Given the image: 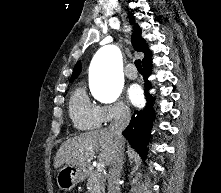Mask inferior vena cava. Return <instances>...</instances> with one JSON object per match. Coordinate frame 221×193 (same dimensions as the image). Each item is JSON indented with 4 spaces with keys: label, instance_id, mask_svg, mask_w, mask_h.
<instances>
[{
    "label": "inferior vena cava",
    "instance_id": "1",
    "mask_svg": "<svg viewBox=\"0 0 221 193\" xmlns=\"http://www.w3.org/2000/svg\"><path fill=\"white\" fill-rule=\"evenodd\" d=\"M129 121L130 111L128 108L122 107L109 127L110 131L114 134L117 150L110 164L108 193H120L119 183L124 160V148L121 144V140L123 139L122 132L128 126Z\"/></svg>",
    "mask_w": 221,
    "mask_h": 193
}]
</instances>
